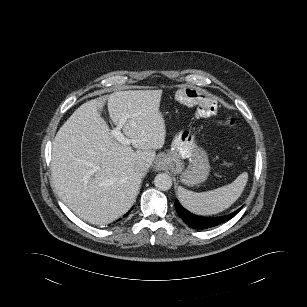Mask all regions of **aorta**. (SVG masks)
Instances as JSON below:
<instances>
[{
    "label": "aorta",
    "instance_id": "762f6f07",
    "mask_svg": "<svg viewBox=\"0 0 307 307\" xmlns=\"http://www.w3.org/2000/svg\"><path fill=\"white\" fill-rule=\"evenodd\" d=\"M154 185L161 191H167L172 187V178L166 173L157 174L154 178Z\"/></svg>",
    "mask_w": 307,
    "mask_h": 307
}]
</instances>
